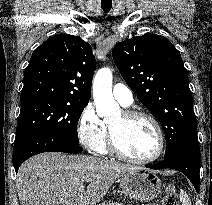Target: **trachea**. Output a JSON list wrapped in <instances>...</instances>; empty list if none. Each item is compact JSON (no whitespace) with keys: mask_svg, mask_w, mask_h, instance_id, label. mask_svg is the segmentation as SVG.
<instances>
[{"mask_svg":"<svg viewBox=\"0 0 212 205\" xmlns=\"http://www.w3.org/2000/svg\"><path fill=\"white\" fill-rule=\"evenodd\" d=\"M101 7H102V9H103V11L105 12V13H108L109 11H110V9H111V4H101Z\"/></svg>","mask_w":212,"mask_h":205,"instance_id":"trachea-1","label":"trachea"}]
</instances>
